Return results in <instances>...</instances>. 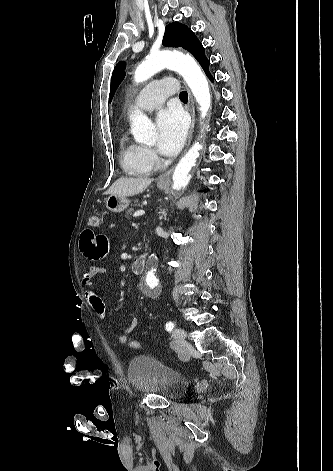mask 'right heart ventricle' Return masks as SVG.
I'll use <instances>...</instances> for the list:
<instances>
[{
	"label": "right heart ventricle",
	"mask_w": 333,
	"mask_h": 471,
	"mask_svg": "<svg viewBox=\"0 0 333 471\" xmlns=\"http://www.w3.org/2000/svg\"><path fill=\"white\" fill-rule=\"evenodd\" d=\"M120 161L126 173L145 176L152 172L153 165L147 160L145 148L123 134L119 142Z\"/></svg>",
	"instance_id": "obj_1"
}]
</instances>
